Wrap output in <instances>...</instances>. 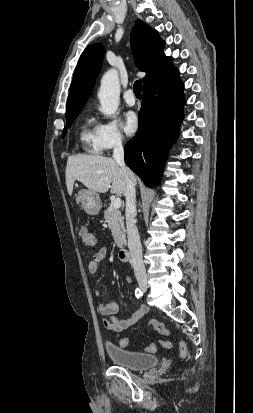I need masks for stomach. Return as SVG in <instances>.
<instances>
[{"label":"stomach","mask_w":253,"mask_h":413,"mask_svg":"<svg viewBox=\"0 0 253 413\" xmlns=\"http://www.w3.org/2000/svg\"><path fill=\"white\" fill-rule=\"evenodd\" d=\"M76 202L81 203L87 214L97 215L101 209L100 196L91 190H80L76 194Z\"/></svg>","instance_id":"obj_1"}]
</instances>
